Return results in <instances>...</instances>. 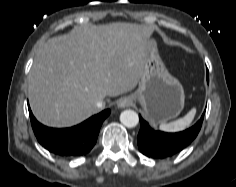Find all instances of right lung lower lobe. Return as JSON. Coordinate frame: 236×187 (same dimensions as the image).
Wrapping results in <instances>:
<instances>
[{
    "mask_svg": "<svg viewBox=\"0 0 236 187\" xmlns=\"http://www.w3.org/2000/svg\"><path fill=\"white\" fill-rule=\"evenodd\" d=\"M109 114L110 110L107 109L77 126L57 129L39 123L29 108L31 125L38 142L51 153L65 158L86 155L95 145L100 127Z\"/></svg>",
    "mask_w": 236,
    "mask_h": 187,
    "instance_id": "right-lung-lower-lobe-1",
    "label": "right lung lower lobe"
}]
</instances>
